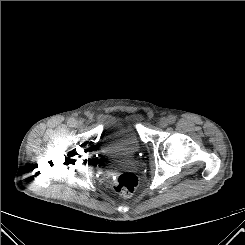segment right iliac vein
Here are the masks:
<instances>
[{"instance_id":"right-iliac-vein-1","label":"right iliac vein","mask_w":245,"mask_h":245,"mask_svg":"<svg viewBox=\"0 0 245 245\" xmlns=\"http://www.w3.org/2000/svg\"><path fill=\"white\" fill-rule=\"evenodd\" d=\"M76 127L82 128L83 127V122L82 121H77L76 122Z\"/></svg>"}]
</instances>
